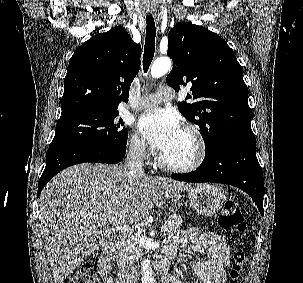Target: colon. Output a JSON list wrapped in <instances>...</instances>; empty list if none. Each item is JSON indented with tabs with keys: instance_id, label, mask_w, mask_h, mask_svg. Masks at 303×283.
<instances>
[{
	"instance_id": "obj_1",
	"label": "colon",
	"mask_w": 303,
	"mask_h": 283,
	"mask_svg": "<svg viewBox=\"0 0 303 283\" xmlns=\"http://www.w3.org/2000/svg\"><path fill=\"white\" fill-rule=\"evenodd\" d=\"M219 225L225 230H233L239 233L245 231V222L240 210L239 203L235 200H227L219 216ZM249 256L243 247L234 253L229 283H239L243 277L245 268L248 264ZM97 272L96 264L93 260L84 262L65 283H93Z\"/></svg>"
}]
</instances>
